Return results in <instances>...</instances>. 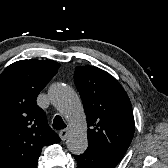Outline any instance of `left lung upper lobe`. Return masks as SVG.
Masks as SVG:
<instances>
[{
  "instance_id": "left-lung-upper-lobe-1",
  "label": "left lung upper lobe",
  "mask_w": 168,
  "mask_h": 168,
  "mask_svg": "<svg viewBox=\"0 0 168 168\" xmlns=\"http://www.w3.org/2000/svg\"><path fill=\"white\" fill-rule=\"evenodd\" d=\"M74 82L86 114L88 149L119 162L135 128L127 93L113 76L93 66L76 67Z\"/></svg>"
}]
</instances>
